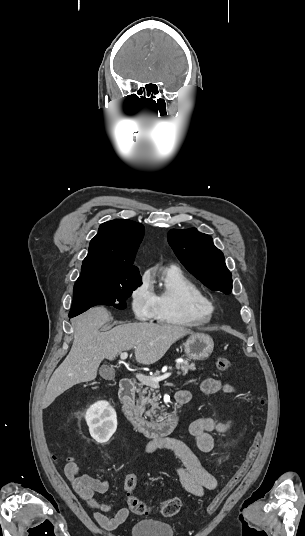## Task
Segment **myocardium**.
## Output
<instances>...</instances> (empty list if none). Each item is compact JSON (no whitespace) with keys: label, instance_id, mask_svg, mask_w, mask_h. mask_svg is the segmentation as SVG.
<instances>
[{"label":"myocardium","instance_id":"myocardium-1","mask_svg":"<svg viewBox=\"0 0 305 536\" xmlns=\"http://www.w3.org/2000/svg\"><path fill=\"white\" fill-rule=\"evenodd\" d=\"M217 309H218L217 304H216L212 299L207 298V301H206V311H207V314H208L211 318H213V316H214L215 313L217 312Z\"/></svg>","mask_w":305,"mask_h":536}]
</instances>
